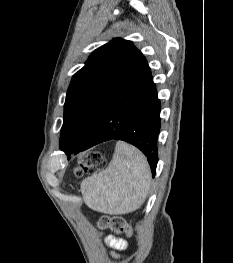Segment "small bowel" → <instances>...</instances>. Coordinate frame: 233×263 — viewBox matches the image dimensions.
<instances>
[{
    "label": "small bowel",
    "mask_w": 233,
    "mask_h": 263,
    "mask_svg": "<svg viewBox=\"0 0 233 263\" xmlns=\"http://www.w3.org/2000/svg\"><path fill=\"white\" fill-rule=\"evenodd\" d=\"M105 242L114 251L115 256H119L118 253L125 251L128 246L125 239L113 235H107Z\"/></svg>",
    "instance_id": "1"
}]
</instances>
